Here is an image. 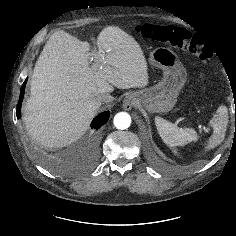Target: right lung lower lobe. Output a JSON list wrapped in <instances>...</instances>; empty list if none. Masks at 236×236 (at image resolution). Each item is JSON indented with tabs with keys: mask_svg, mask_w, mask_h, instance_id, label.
<instances>
[{
	"mask_svg": "<svg viewBox=\"0 0 236 236\" xmlns=\"http://www.w3.org/2000/svg\"><path fill=\"white\" fill-rule=\"evenodd\" d=\"M26 82H27V79L24 81V83L21 87L20 97H19V101H18V105H17V117L18 118L21 117V103L23 101L24 89H25ZM109 116H110L109 111L99 114L98 116H96L93 119L92 124H91V128L94 130H98L101 126H103L108 121Z\"/></svg>",
	"mask_w": 236,
	"mask_h": 236,
	"instance_id": "1",
	"label": "right lung lower lobe"
}]
</instances>
